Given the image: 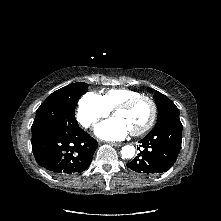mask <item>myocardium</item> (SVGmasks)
Wrapping results in <instances>:
<instances>
[{"label":"myocardium","mask_w":221,"mask_h":221,"mask_svg":"<svg viewBox=\"0 0 221 221\" xmlns=\"http://www.w3.org/2000/svg\"><path fill=\"white\" fill-rule=\"evenodd\" d=\"M142 100H146L150 103L151 116H150L149 121L142 128L135 130V131H131V134L133 136H140V135L145 134L155 124V121L157 118V113H158V108H157V104H156L155 100L148 95L141 94L139 96L133 97L131 99H128V100L122 102L113 110V114H115L117 111L128 110V109L132 108L136 103H138L139 101H142Z\"/></svg>","instance_id":"1"}]
</instances>
